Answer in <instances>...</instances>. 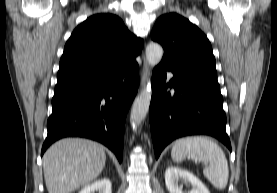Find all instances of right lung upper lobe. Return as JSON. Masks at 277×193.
<instances>
[{"label": "right lung upper lobe", "mask_w": 277, "mask_h": 193, "mask_svg": "<svg viewBox=\"0 0 277 193\" xmlns=\"http://www.w3.org/2000/svg\"><path fill=\"white\" fill-rule=\"evenodd\" d=\"M143 40L113 14L93 15L73 31L60 59L57 84L102 75L131 62Z\"/></svg>", "instance_id": "right-lung-upper-lobe-1"}]
</instances>
